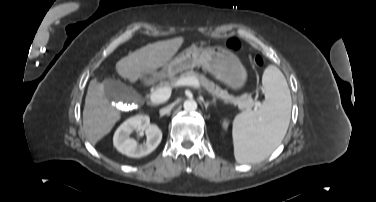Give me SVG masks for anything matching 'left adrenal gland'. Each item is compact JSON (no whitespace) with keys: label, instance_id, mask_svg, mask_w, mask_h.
<instances>
[{"label":"left adrenal gland","instance_id":"obj_1","mask_svg":"<svg viewBox=\"0 0 376 202\" xmlns=\"http://www.w3.org/2000/svg\"><path fill=\"white\" fill-rule=\"evenodd\" d=\"M203 104H204V106H205V108H206V110H207V108H208V106H209V104H210V102H203Z\"/></svg>","mask_w":376,"mask_h":202}]
</instances>
